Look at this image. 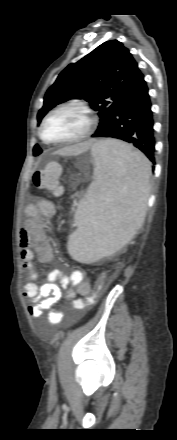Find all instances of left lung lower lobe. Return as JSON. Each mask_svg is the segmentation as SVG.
I'll use <instances>...</instances> for the list:
<instances>
[{
  "mask_svg": "<svg viewBox=\"0 0 177 440\" xmlns=\"http://www.w3.org/2000/svg\"><path fill=\"white\" fill-rule=\"evenodd\" d=\"M154 121L144 75L104 125L91 137H112L141 150L155 164Z\"/></svg>",
  "mask_w": 177,
  "mask_h": 440,
  "instance_id": "1",
  "label": "left lung lower lobe"
}]
</instances>
